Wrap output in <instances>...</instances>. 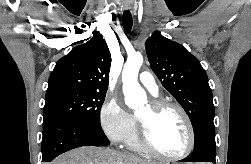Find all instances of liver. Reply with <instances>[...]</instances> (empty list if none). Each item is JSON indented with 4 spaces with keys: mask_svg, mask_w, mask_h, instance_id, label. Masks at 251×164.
I'll use <instances>...</instances> for the list:
<instances>
[{
    "mask_svg": "<svg viewBox=\"0 0 251 164\" xmlns=\"http://www.w3.org/2000/svg\"><path fill=\"white\" fill-rule=\"evenodd\" d=\"M51 164H155L134 155L102 147H80L64 153Z\"/></svg>",
    "mask_w": 251,
    "mask_h": 164,
    "instance_id": "obj_1",
    "label": "liver"
}]
</instances>
